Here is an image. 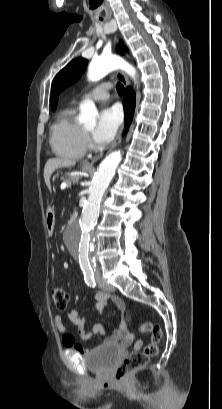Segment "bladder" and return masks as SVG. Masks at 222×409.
<instances>
[{"mask_svg": "<svg viewBox=\"0 0 222 409\" xmlns=\"http://www.w3.org/2000/svg\"><path fill=\"white\" fill-rule=\"evenodd\" d=\"M121 355L118 345H100L84 357L86 367L97 374H109Z\"/></svg>", "mask_w": 222, "mask_h": 409, "instance_id": "obj_1", "label": "bladder"}]
</instances>
